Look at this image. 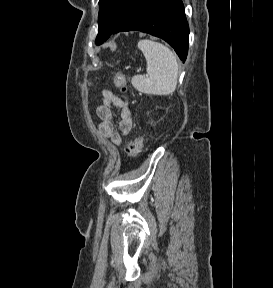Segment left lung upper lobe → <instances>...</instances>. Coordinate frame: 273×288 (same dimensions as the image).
Segmentation results:
<instances>
[{
	"mask_svg": "<svg viewBox=\"0 0 273 288\" xmlns=\"http://www.w3.org/2000/svg\"><path fill=\"white\" fill-rule=\"evenodd\" d=\"M133 0H99V23L96 44H102L115 32L119 21Z\"/></svg>",
	"mask_w": 273,
	"mask_h": 288,
	"instance_id": "obj_1",
	"label": "left lung upper lobe"
}]
</instances>
